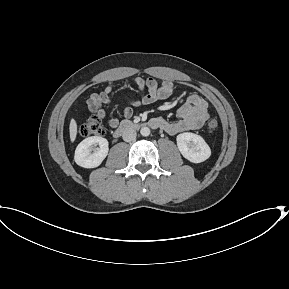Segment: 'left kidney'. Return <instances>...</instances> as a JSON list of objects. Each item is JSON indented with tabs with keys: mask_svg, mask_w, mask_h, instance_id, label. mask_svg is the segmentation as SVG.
I'll return each instance as SVG.
<instances>
[{
	"mask_svg": "<svg viewBox=\"0 0 289 289\" xmlns=\"http://www.w3.org/2000/svg\"><path fill=\"white\" fill-rule=\"evenodd\" d=\"M177 146L184 158L193 163H201L211 155V150L205 140L194 133L186 132L177 135Z\"/></svg>",
	"mask_w": 289,
	"mask_h": 289,
	"instance_id": "obj_1",
	"label": "left kidney"
}]
</instances>
